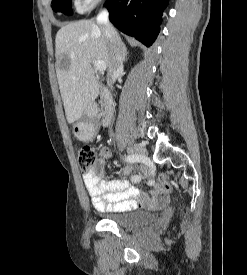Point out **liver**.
I'll use <instances>...</instances> for the list:
<instances>
[{
    "label": "liver",
    "instance_id": "liver-1",
    "mask_svg": "<svg viewBox=\"0 0 247 275\" xmlns=\"http://www.w3.org/2000/svg\"><path fill=\"white\" fill-rule=\"evenodd\" d=\"M56 73L69 124L79 120L99 94L93 61H103L109 77L110 53L101 27L91 20L69 23L55 39ZM64 60V66L61 61Z\"/></svg>",
    "mask_w": 247,
    "mask_h": 275
}]
</instances>
